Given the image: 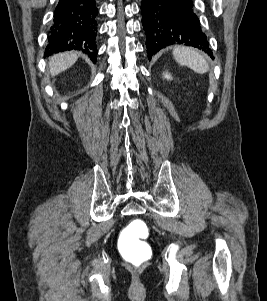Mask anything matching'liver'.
Masks as SVG:
<instances>
[{
	"mask_svg": "<svg viewBox=\"0 0 267 301\" xmlns=\"http://www.w3.org/2000/svg\"><path fill=\"white\" fill-rule=\"evenodd\" d=\"M78 59L76 52H63L53 55L49 60L51 76H56L72 67Z\"/></svg>",
	"mask_w": 267,
	"mask_h": 301,
	"instance_id": "1",
	"label": "liver"
}]
</instances>
